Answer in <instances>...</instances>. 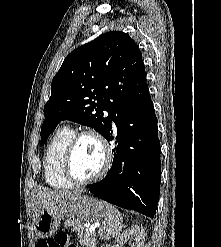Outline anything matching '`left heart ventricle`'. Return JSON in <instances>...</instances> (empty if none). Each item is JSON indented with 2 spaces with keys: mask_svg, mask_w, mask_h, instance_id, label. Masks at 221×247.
Segmentation results:
<instances>
[{
  "mask_svg": "<svg viewBox=\"0 0 221 247\" xmlns=\"http://www.w3.org/2000/svg\"><path fill=\"white\" fill-rule=\"evenodd\" d=\"M103 154L99 144L90 137H85L78 143L73 159L72 169L79 179L95 175L102 167Z\"/></svg>",
  "mask_w": 221,
  "mask_h": 247,
  "instance_id": "1",
  "label": "left heart ventricle"
}]
</instances>
